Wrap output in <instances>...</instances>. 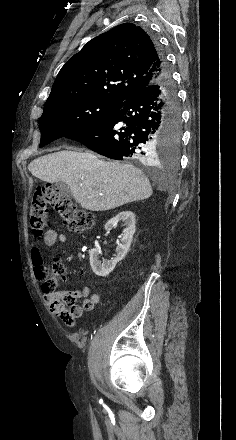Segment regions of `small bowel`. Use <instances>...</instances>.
<instances>
[{
    "label": "small bowel",
    "instance_id": "small-bowel-1",
    "mask_svg": "<svg viewBox=\"0 0 236 440\" xmlns=\"http://www.w3.org/2000/svg\"><path fill=\"white\" fill-rule=\"evenodd\" d=\"M67 240L66 235L63 233H58L55 230H48L44 234L43 238V245L45 247H53L57 244H63ZM33 260L37 263L41 259V253L38 250H35L32 253ZM65 297L74 302L73 307L69 309L70 314L72 315L73 319L80 318L85 311H91L94 309L95 305L99 302V296L97 294H91V290L89 287L84 286L78 290L70 291V292H64ZM44 299L46 303L48 304L50 311L59 316L62 319V313L59 308V306L54 303L52 297L46 293H44ZM82 299V305L76 304L78 300ZM68 329H74L75 323L74 322H68L67 323Z\"/></svg>",
    "mask_w": 236,
    "mask_h": 440
}]
</instances>
